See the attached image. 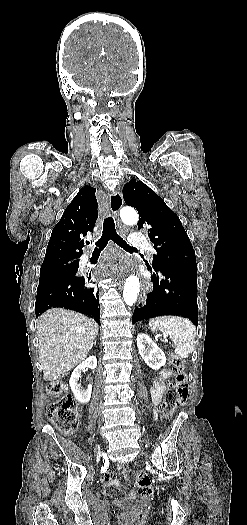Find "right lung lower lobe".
Masks as SVG:
<instances>
[{
	"label": "right lung lower lobe",
	"mask_w": 247,
	"mask_h": 525,
	"mask_svg": "<svg viewBox=\"0 0 247 525\" xmlns=\"http://www.w3.org/2000/svg\"><path fill=\"white\" fill-rule=\"evenodd\" d=\"M76 273L39 282L35 302L36 317L47 309L60 307L86 314L100 324L98 291L84 287L85 283L91 282V275L78 277Z\"/></svg>",
	"instance_id": "obj_1"
}]
</instances>
